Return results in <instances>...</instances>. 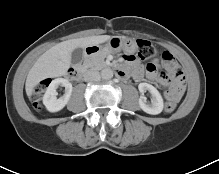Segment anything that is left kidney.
<instances>
[{"mask_svg":"<svg viewBox=\"0 0 219 174\" xmlns=\"http://www.w3.org/2000/svg\"><path fill=\"white\" fill-rule=\"evenodd\" d=\"M138 89L141 92V96L139 98V106L140 108L151 115L160 114L163 110L164 103L163 98L159 91L152 85L148 83H140L138 85ZM149 91L152 96V104H146V97L143 95L144 92Z\"/></svg>","mask_w":219,"mask_h":174,"instance_id":"left-kidney-1","label":"left kidney"}]
</instances>
